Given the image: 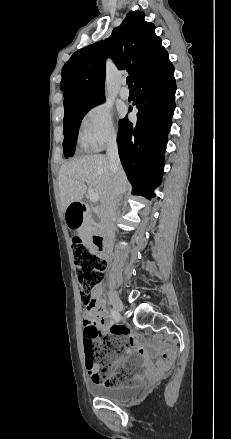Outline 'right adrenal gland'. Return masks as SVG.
I'll list each match as a JSON object with an SVG mask.
<instances>
[{
	"mask_svg": "<svg viewBox=\"0 0 231 439\" xmlns=\"http://www.w3.org/2000/svg\"><path fill=\"white\" fill-rule=\"evenodd\" d=\"M121 199H122V196H119V198H118V202H119Z\"/></svg>",
	"mask_w": 231,
	"mask_h": 439,
	"instance_id": "right-adrenal-gland-1",
	"label": "right adrenal gland"
}]
</instances>
